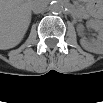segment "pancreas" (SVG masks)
<instances>
[{
  "mask_svg": "<svg viewBox=\"0 0 103 103\" xmlns=\"http://www.w3.org/2000/svg\"><path fill=\"white\" fill-rule=\"evenodd\" d=\"M77 6H78L79 14H80L81 16L87 17L86 12H85V10L83 9V7H82L80 4H77Z\"/></svg>",
  "mask_w": 103,
  "mask_h": 103,
  "instance_id": "1",
  "label": "pancreas"
}]
</instances>
